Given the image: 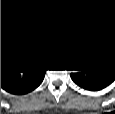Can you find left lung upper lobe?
<instances>
[{
    "instance_id": "obj_1",
    "label": "left lung upper lobe",
    "mask_w": 115,
    "mask_h": 114,
    "mask_svg": "<svg viewBox=\"0 0 115 114\" xmlns=\"http://www.w3.org/2000/svg\"><path fill=\"white\" fill-rule=\"evenodd\" d=\"M87 60L98 62L115 70V38L105 41L99 50Z\"/></svg>"
}]
</instances>
